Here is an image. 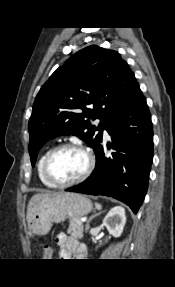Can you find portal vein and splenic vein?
Segmentation results:
<instances>
[{
  "label": "portal vein and splenic vein",
  "mask_w": 175,
  "mask_h": 287,
  "mask_svg": "<svg viewBox=\"0 0 175 287\" xmlns=\"http://www.w3.org/2000/svg\"><path fill=\"white\" fill-rule=\"evenodd\" d=\"M86 220L85 219H82L79 223H82V222H85Z\"/></svg>",
  "instance_id": "1"
}]
</instances>
